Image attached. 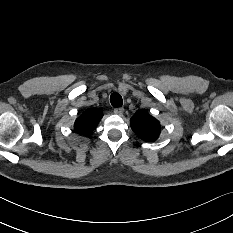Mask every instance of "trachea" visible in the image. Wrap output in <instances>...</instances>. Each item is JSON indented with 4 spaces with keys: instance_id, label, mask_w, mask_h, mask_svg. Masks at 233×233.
Returning a JSON list of instances; mask_svg holds the SVG:
<instances>
[{
    "instance_id": "1",
    "label": "trachea",
    "mask_w": 233,
    "mask_h": 233,
    "mask_svg": "<svg viewBox=\"0 0 233 233\" xmlns=\"http://www.w3.org/2000/svg\"><path fill=\"white\" fill-rule=\"evenodd\" d=\"M110 101L113 107H121L123 104L121 95L116 92L111 94Z\"/></svg>"
}]
</instances>
